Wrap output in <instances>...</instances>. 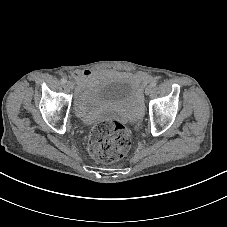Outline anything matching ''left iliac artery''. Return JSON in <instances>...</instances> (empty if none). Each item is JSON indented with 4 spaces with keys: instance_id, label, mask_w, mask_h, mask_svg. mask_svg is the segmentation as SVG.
<instances>
[{
    "instance_id": "44dca946",
    "label": "left iliac artery",
    "mask_w": 227,
    "mask_h": 227,
    "mask_svg": "<svg viewBox=\"0 0 227 227\" xmlns=\"http://www.w3.org/2000/svg\"><path fill=\"white\" fill-rule=\"evenodd\" d=\"M152 87H155L157 85V82L156 81H153L151 84H150Z\"/></svg>"
}]
</instances>
